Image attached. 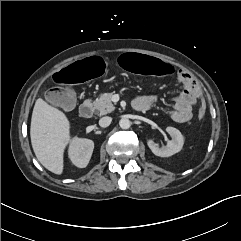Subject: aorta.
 <instances>
[{"label":"aorta","instance_id":"aorta-1","mask_svg":"<svg viewBox=\"0 0 241 241\" xmlns=\"http://www.w3.org/2000/svg\"><path fill=\"white\" fill-rule=\"evenodd\" d=\"M119 125L122 129H129L130 126H131V122L129 119L127 118H122L120 121H119Z\"/></svg>","mask_w":241,"mask_h":241}]
</instances>
